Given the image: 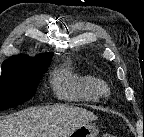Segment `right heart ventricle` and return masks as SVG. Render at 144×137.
I'll list each match as a JSON object with an SVG mask.
<instances>
[{
  "instance_id": "e07e8e85",
  "label": "right heart ventricle",
  "mask_w": 144,
  "mask_h": 137,
  "mask_svg": "<svg viewBox=\"0 0 144 137\" xmlns=\"http://www.w3.org/2000/svg\"><path fill=\"white\" fill-rule=\"evenodd\" d=\"M56 96L69 102H94L100 97L99 81L91 75L79 73L66 64L57 69L51 79Z\"/></svg>"
}]
</instances>
